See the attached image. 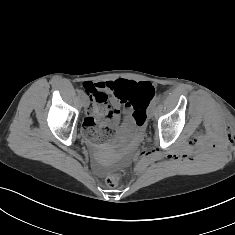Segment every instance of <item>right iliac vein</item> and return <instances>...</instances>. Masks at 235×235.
Returning a JSON list of instances; mask_svg holds the SVG:
<instances>
[{
    "label": "right iliac vein",
    "mask_w": 235,
    "mask_h": 235,
    "mask_svg": "<svg viewBox=\"0 0 235 235\" xmlns=\"http://www.w3.org/2000/svg\"><path fill=\"white\" fill-rule=\"evenodd\" d=\"M83 105H84V107H88V105H89L88 101H87V100H84V101H83Z\"/></svg>",
    "instance_id": "right-iliac-vein-1"
}]
</instances>
